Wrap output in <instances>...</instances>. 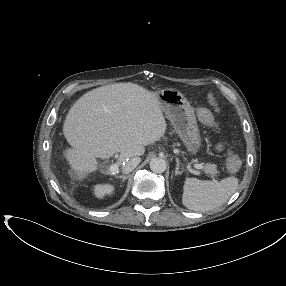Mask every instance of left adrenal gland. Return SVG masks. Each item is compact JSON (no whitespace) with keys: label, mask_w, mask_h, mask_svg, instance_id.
Returning <instances> with one entry per match:
<instances>
[{"label":"left adrenal gland","mask_w":286,"mask_h":286,"mask_svg":"<svg viewBox=\"0 0 286 286\" xmlns=\"http://www.w3.org/2000/svg\"><path fill=\"white\" fill-rule=\"evenodd\" d=\"M176 162H177V165H176V168H175V175H178V174L181 173V172L179 171L180 163H179V159H178V158H176ZM181 169H182V172H183L184 169H183V168H181Z\"/></svg>","instance_id":"obj_1"}]
</instances>
